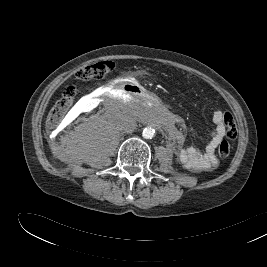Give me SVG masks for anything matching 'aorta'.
Returning a JSON list of instances; mask_svg holds the SVG:
<instances>
[{"instance_id":"1","label":"aorta","mask_w":267,"mask_h":267,"mask_svg":"<svg viewBox=\"0 0 267 267\" xmlns=\"http://www.w3.org/2000/svg\"><path fill=\"white\" fill-rule=\"evenodd\" d=\"M155 135V130L153 128H145L143 130V137L146 139H152Z\"/></svg>"}]
</instances>
